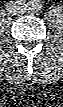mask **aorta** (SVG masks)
Here are the masks:
<instances>
[{
    "instance_id": "762f6f07",
    "label": "aorta",
    "mask_w": 63,
    "mask_h": 107,
    "mask_svg": "<svg viewBox=\"0 0 63 107\" xmlns=\"http://www.w3.org/2000/svg\"><path fill=\"white\" fill-rule=\"evenodd\" d=\"M40 7V2L38 0H30L28 2V8L30 10H38Z\"/></svg>"
}]
</instances>
